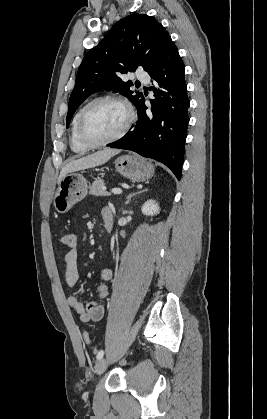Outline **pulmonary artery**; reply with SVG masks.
Wrapping results in <instances>:
<instances>
[{"label": "pulmonary artery", "instance_id": "1", "mask_svg": "<svg viewBox=\"0 0 267 419\" xmlns=\"http://www.w3.org/2000/svg\"><path fill=\"white\" fill-rule=\"evenodd\" d=\"M136 78L143 81V82H148L150 77L147 73L143 72V71H138L136 73Z\"/></svg>", "mask_w": 267, "mask_h": 419}]
</instances>
